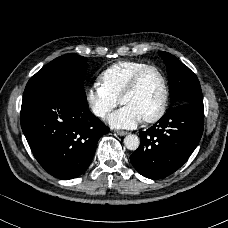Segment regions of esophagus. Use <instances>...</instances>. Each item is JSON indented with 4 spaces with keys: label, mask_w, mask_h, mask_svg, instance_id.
Listing matches in <instances>:
<instances>
[{
    "label": "esophagus",
    "mask_w": 228,
    "mask_h": 228,
    "mask_svg": "<svg viewBox=\"0 0 228 228\" xmlns=\"http://www.w3.org/2000/svg\"><path fill=\"white\" fill-rule=\"evenodd\" d=\"M116 134H117L118 136H125V135L128 134V132H127V131H123V130H117V131H116Z\"/></svg>",
    "instance_id": "1"
}]
</instances>
